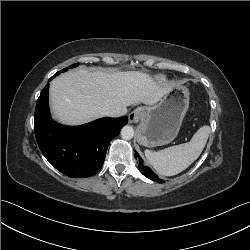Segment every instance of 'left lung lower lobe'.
<instances>
[{"mask_svg":"<svg viewBox=\"0 0 250 250\" xmlns=\"http://www.w3.org/2000/svg\"><path fill=\"white\" fill-rule=\"evenodd\" d=\"M135 158L138 159L139 161L138 168L145 177L149 178L150 180L156 181L158 183L164 182L163 180L159 179L158 176L149 167H146L144 165L143 160L137 153L135 154Z\"/></svg>","mask_w":250,"mask_h":250,"instance_id":"1","label":"left lung lower lobe"}]
</instances>
